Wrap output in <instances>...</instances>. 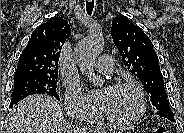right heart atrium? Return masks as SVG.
Listing matches in <instances>:
<instances>
[{
  "mask_svg": "<svg viewBox=\"0 0 184 133\" xmlns=\"http://www.w3.org/2000/svg\"><path fill=\"white\" fill-rule=\"evenodd\" d=\"M65 107L70 115L84 119H91L96 114L95 108L82 93L77 83L66 84Z\"/></svg>",
  "mask_w": 184,
  "mask_h": 133,
  "instance_id": "1",
  "label": "right heart atrium"
}]
</instances>
